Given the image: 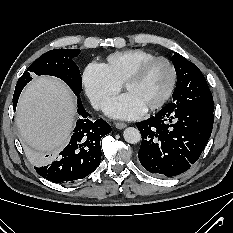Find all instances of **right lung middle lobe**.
Instances as JSON below:
<instances>
[{
  "instance_id": "obj_1",
  "label": "right lung middle lobe",
  "mask_w": 233,
  "mask_h": 233,
  "mask_svg": "<svg viewBox=\"0 0 233 233\" xmlns=\"http://www.w3.org/2000/svg\"><path fill=\"white\" fill-rule=\"evenodd\" d=\"M80 50L54 49L44 53L19 78L15 90H22L31 81V75H51L62 79L75 93L77 98L82 90V78L74 62Z\"/></svg>"
}]
</instances>
